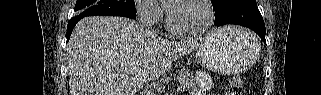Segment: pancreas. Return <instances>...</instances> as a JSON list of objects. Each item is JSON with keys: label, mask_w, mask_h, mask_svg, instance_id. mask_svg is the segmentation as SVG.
Wrapping results in <instances>:
<instances>
[{"label": "pancreas", "mask_w": 321, "mask_h": 95, "mask_svg": "<svg viewBox=\"0 0 321 95\" xmlns=\"http://www.w3.org/2000/svg\"><path fill=\"white\" fill-rule=\"evenodd\" d=\"M178 80L180 83L179 88L191 90L195 87L193 76L190 74L188 70H181L178 74Z\"/></svg>", "instance_id": "obj_1"}]
</instances>
